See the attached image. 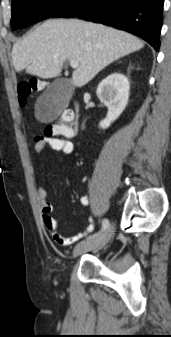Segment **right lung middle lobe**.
I'll use <instances>...</instances> for the list:
<instances>
[{
  "label": "right lung middle lobe",
  "instance_id": "obj_1",
  "mask_svg": "<svg viewBox=\"0 0 171 337\" xmlns=\"http://www.w3.org/2000/svg\"><path fill=\"white\" fill-rule=\"evenodd\" d=\"M74 0H12L11 26L24 28L51 17Z\"/></svg>",
  "mask_w": 171,
  "mask_h": 337
}]
</instances>
